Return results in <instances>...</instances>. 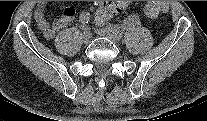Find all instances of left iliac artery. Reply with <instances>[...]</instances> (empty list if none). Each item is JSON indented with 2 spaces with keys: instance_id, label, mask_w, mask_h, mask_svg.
I'll use <instances>...</instances> for the list:
<instances>
[{
  "instance_id": "obj_1",
  "label": "left iliac artery",
  "mask_w": 207,
  "mask_h": 121,
  "mask_svg": "<svg viewBox=\"0 0 207 121\" xmlns=\"http://www.w3.org/2000/svg\"><path fill=\"white\" fill-rule=\"evenodd\" d=\"M139 21H140L139 15H132V16L125 17L123 20L120 21V27H117V29L123 31V27L133 25L134 23Z\"/></svg>"
}]
</instances>
